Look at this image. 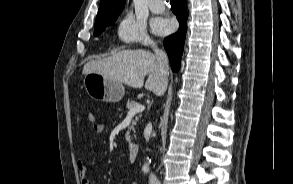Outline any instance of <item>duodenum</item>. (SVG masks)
<instances>
[{"mask_svg": "<svg viewBox=\"0 0 293 184\" xmlns=\"http://www.w3.org/2000/svg\"><path fill=\"white\" fill-rule=\"evenodd\" d=\"M139 153V145L135 142L129 144V159L135 161Z\"/></svg>", "mask_w": 293, "mask_h": 184, "instance_id": "duodenum-1", "label": "duodenum"}]
</instances>
